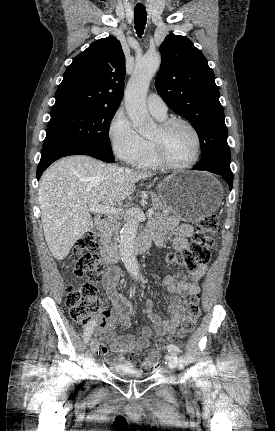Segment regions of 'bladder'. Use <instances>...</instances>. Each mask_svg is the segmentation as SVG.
Wrapping results in <instances>:
<instances>
[{"mask_svg":"<svg viewBox=\"0 0 275 431\" xmlns=\"http://www.w3.org/2000/svg\"><path fill=\"white\" fill-rule=\"evenodd\" d=\"M111 369L115 374L118 375H128L134 377H145L148 373L135 369L132 366L121 364V363H113L111 364Z\"/></svg>","mask_w":275,"mask_h":431,"instance_id":"bladder-1","label":"bladder"}]
</instances>
